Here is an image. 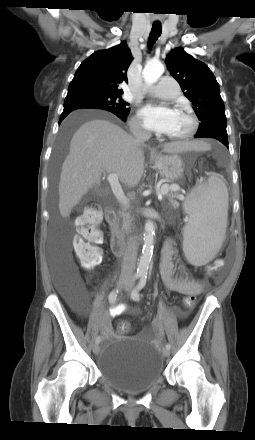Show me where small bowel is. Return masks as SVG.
Masks as SVG:
<instances>
[{
  "label": "small bowel",
  "mask_w": 255,
  "mask_h": 440,
  "mask_svg": "<svg viewBox=\"0 0 255 440\" xmlns=\"http://www.w3.org/2000/svg\"><path fill=\"white\" fill-rule=\"evenodd\" d=\"M173 254V240L167 239L162 248L160 264L161 277L166 288L182 295H200L204 289V286L200 282L185 277L183 272H181L180 276H174ZM124 311L125 306L118 305L111 310V315H119ZM107 330H109V321H107Z\"/></svg>",
  "instance_id": "small-bowel-1"
}]
</instances>
